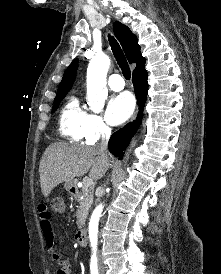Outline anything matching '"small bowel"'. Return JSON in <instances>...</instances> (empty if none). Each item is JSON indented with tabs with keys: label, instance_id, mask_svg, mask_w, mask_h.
<instances>
[{
	"label": "small bowel",
	"instance_id": "1",
	"mask_svg": "<svg viewBox=\"0 0 221 274\" xmlns=\"http://www.w3.org/2000/svg\"><path fill=\"white\" fill-rule=\"evenodd\" d=\"M40 228L45 239L53 262L59 265L56 274H69V265L63 255L55 246V235L53 230L52 215L49 207L45 204L38 206Z\"/></svg>",
	"mask_w": 221,
	"mask_h": 274
}]
</instances>
